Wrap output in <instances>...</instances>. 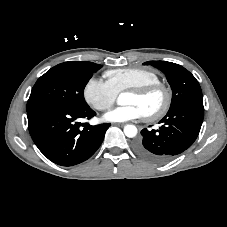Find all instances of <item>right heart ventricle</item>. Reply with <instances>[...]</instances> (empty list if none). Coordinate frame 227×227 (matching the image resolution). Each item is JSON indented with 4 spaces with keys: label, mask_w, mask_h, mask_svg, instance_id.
<instances>
[{
    "label": "right heart ventricle",
    "mask_w": 227,
    "mask_h": 227,
    "mask_svg": "<svg viewBox=\"0 0 227 227\" xmlns=\"http://www.w3.org/2000/svg\"><path fill=\"white\" fill-rule=\"evenodd\" d=\"M108 85L119 94L130 88L160 82L159 76L145 68H123L108 70L104 73Z\"/></svg>",
    "instance_id": "1"
}]
</instances>
